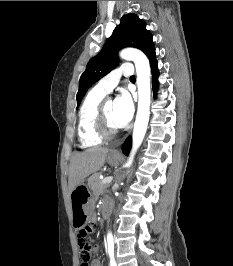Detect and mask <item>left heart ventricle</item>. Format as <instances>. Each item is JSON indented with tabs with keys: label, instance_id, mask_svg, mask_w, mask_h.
Segmentation results:
<instances>
[{
	"label": "left heart ventricle",
	"instance_id": "1",
	"mask_svg": "<svg viewBox=\"0 0 233 266\" xmlns=\"http://www.w3.org/2000/svg\"><path fill=\"white\" fill-rule=\"evenodd\" d=\"M105 115H106V120H107L108 125L111 128H117L115 121H114V102L113 101H109L106 104Z\"/></svg>",
	"mask_w": 233,
	"mask_h": 266
}]
</instances>
